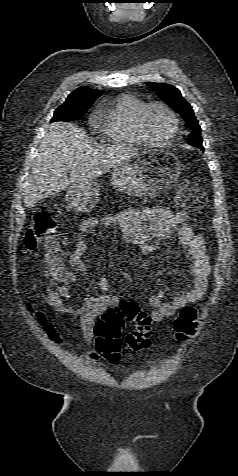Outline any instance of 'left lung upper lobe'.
Returning a JSON list of instances; mask_svg holds the SVG:
<instances>
[{
  "label": "left lung upper lobe",
  "instance_id": "obj_1",
  "mask_svg": "<svg viewBox=\"0 0 238 476\" xmlns=\"http://www.w3.org/2000/svg\"><path fill=\"white\" fill-rule=\"evenodd\" d=\"M148 86L156 91L163 101L169 104L189 123L193 131L188 136V143L203 150L201 128L198 120L194 115L191 105L182 97L181 92L176 87L165 83L150 82Z\"/></svg>",
  "mask_w": 238,
  "mask_h": 476
}]
</instances>
